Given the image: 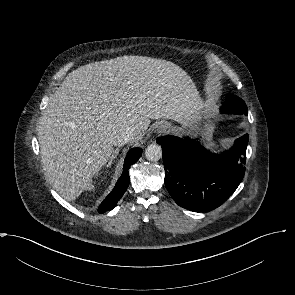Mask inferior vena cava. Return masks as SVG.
I'll return each mask as SVG.
<instances>
[{
  "mask_svg": "<svg viewBox=\"0 0 295 295\" xmlns=\"http://www.w3.org/2000/svg\"><path fill=\"white\" fill-rule=\"evenodd\" d=\"M135 137V132L133 130L123 131L118 135L114 141L115 146L125 145L127 142L131 141Z\"/></svg>",
  "mask_w": 295,
  "mask_h": 295,
  "instance_id": "inferior-vena-cava-1",
  "label": "inferior vena cava"
}]
</instances>
